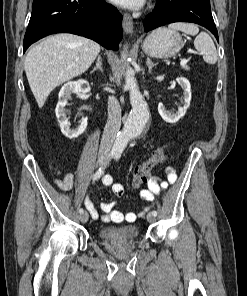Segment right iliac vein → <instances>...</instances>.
Returning a JSON list of instances; mask_svg holds the SVG:
<instances>
[{
	"label": "right iliac vein",
	"mask_w": 247,
	"mask_h": 296,
	"mask_svg": "<svg viewBox=\"0 0 247 296\" xmlns=\"http://www.w3.org/2000/svg\"><path fill=\"white\" fill-rule=\"evenodd\" d=\"M104 159H105V156L104 155H100L99 158H98V163L99 164H102L104 162ZM80 220L83 223L87 222V220H88V213H86V212L85 213H82L80 215Z\"/></svg>",
	"instance_id": "63e3f726"
}]
</instances>
